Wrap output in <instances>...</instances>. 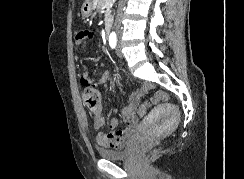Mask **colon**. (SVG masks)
Here are the masks:
<instances>
[{"instance_id":"1","label":"colon","mask_w":244,"mask_h":179,"mask_svg":"<svg viewBox=\"0 0 244 179\" xmlns=\"http://www.w3.org/2000/svg\"><path fill=\"white\" fill-rule=\"evenodd\" d=\"M83 102L85 104L87 112L94 115H99L100 103L98 93L92 88H86L82 92ZM171 96L169 93H154V96L150 97V104H138V109H151L154 103H158L160 101H171ZM148 116V111H139L135 112L136 116Z\"/></svg>"}]
</instances>
